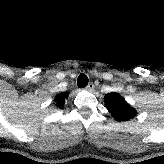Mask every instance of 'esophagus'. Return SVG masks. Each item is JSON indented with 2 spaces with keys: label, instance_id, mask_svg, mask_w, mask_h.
Returning <instances> with one entry per match:
<instances>
[{
  "label": "esophagus",
  "instance_id": "esophagus-1",
  "mask_svg": "<svg viewBox=\"0 0 164 164\" xmlns=\"http://www.w3.org/2000/svg\"><path fill=\"white\" fill-rule=\"evenodd\" d=\"M87 90L92 91L94 89V84L91 82L86 87Z\"/></svg>",
  "mask_w": 164,
  "mask_h": 164
}]
</instances>
